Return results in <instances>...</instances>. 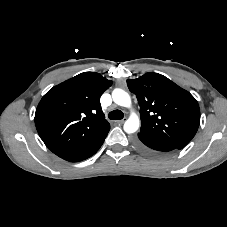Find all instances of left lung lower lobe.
Returning <instances> with one entry per match:
<instances>
[{
  "label": "left lung lower lobe",
  "instance_id": "obj_1",
  "mask_svg": "<svg viewBox=\"0 0 227 227\" xmlns=\"http://www.w3.org/2000/svg\"><path fill=\"white\" fill-rule=\"evenodd\" d=\"M136 146L137 148L144 152L147 155L153 156V157H161L165 156L168 153L174 151L175 148L172 145H169L167 143H163L156 140H151L148 138H144L142 136L138 135V138L136 139Z\"/></svg>",
  "mask_w": 227,
  "mask_h": 227
}]
</instances>
